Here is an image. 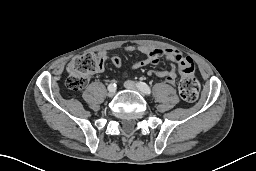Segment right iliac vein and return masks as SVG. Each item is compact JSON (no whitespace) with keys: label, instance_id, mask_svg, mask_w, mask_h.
I'll use <instances>...</instances> for the list:
<instances>
[{"label":"right iliac vein","instance_id":"63e3f726","mask_svg":"<svg viewBox=\"0 0 256 171\" xmlns=\"http://www.w3.org/2000/svg\"><path fill=\"white\" fill-rule=\"evenodd\" d=\"M116 93V89H110L109 92H108V96L109 97H113Z\"/></svg>","mask_w":256,"mask_h":171}]
</instances>
